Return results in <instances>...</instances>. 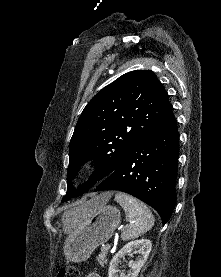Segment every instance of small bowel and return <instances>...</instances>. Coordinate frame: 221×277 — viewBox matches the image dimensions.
Segmentation results:
<instances>
[{"instance_id": "small-bowel-1", "label": "small bowel", "mask_w": 221, "mask_h": 277, "mask_svg": "<svg viewBox=\"0 0 221 277\" xmlns=\"http://www.w3.org/2000/svg\"><path fill=\"white\" fill-rule=\"evenodd\" d=\"M86 277H101V276L97 273L92 272V273L87 274Z\"/></svg>"}]
</instances>
